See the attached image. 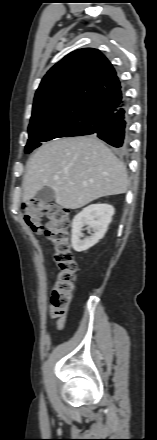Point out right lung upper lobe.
Returning <instances> with one entry per match:
<instances>
[{
  "instance_id": "obj_1",
  "label": "right lung upper lobe",
  "mask_w": 157,
  "mask_h": 440,
  "mask_svg": "<svg viewBox=\"0 0 157 440\" xmlns=\"http://www.w3.org/2000/svg\"><path fill=\"white\" fill-rule=\"evenodd\" d=\"M123 101L120 81L97 49L71 52L55 64L36 91L32 121L71 120L87 124Z\"/></svg>"
}]
</instances>
